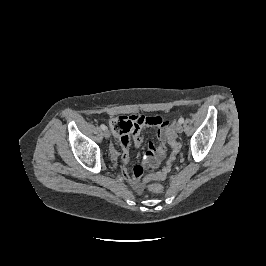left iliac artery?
Instances as JSON below:
<instances>
[{
  "mask_svg": "<svg viewBox=\"0 0 266 266\" xmlns=\"http://www.w3.org/2000/svg\"><path fill=\"white\" fill-rule=\"evenodd\" d=\"M178 122H179L180 124L184 123V118L181 117V118L178 120Z\"/></svg>",
  "mask_w": 266,
  "mask_h": 266,
  "instance_id": "1",
  "label": "left iliac artery"
}]
</instances>
